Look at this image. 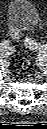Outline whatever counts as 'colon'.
Instances as JSON below:
<instances>
[{"label": "colon", "instance_id": "colon-1", "mask_svg": "<svg viewBox=\"0 0 47 129\" xmlns=\"http://www.w3.org/2000/svg\"><path fill=\"white\" fill-rule=\"evenodd\" d=\"M8 31L14 39L18 40L20 38V34L15 29H13L12 27L9 26ZM25 42H26L27 45L31 46V40L30 39H26Z\"/></svg>", "mask_w": 47, "mask_h": 129}]
</instances>
